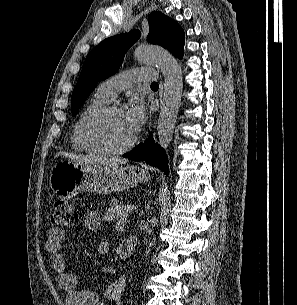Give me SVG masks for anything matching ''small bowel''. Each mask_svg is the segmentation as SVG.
Instances as JSON below:
<instances>
[{"label":"small bowel","instance_id":"c3829d8e","mask_svg":"<svg viewBox=\"0 0 297 305\" xmlns=\"http://www.w3.org/2000/svg\"><path fill=\"white\" fill-rule=\"evenodd\" d=\"M101 224V213L99 210L91 211L85 218V229L96 230ZM65 231L61 228L52 227L46 237V249L50 253V266L56 273L57 282L61 289L66 292V305H122V294L127 285V277L121 276L109 286L97 293L90 289L80 288L78 278L68 271L67 262L61 253L62 242ZM110 246L105 241L96 243V251L106 254Z\"/></svg>","mask_w":297,"mask_h":305}]
</instances>
